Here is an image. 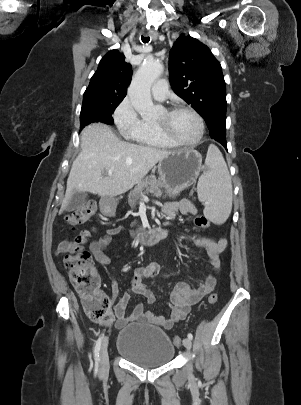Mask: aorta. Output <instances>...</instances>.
<instances>
[{
	"label": "aorta",
	"mask_w": 301,
	"mask_h": 405,
	"mask_svg": "<svg viewBox=\"0 0 301 405\" xmlns=\"http://www.w3.org/2000/svg\"><path fill=\"white\" fill-rule=\"evenodd\" d=\"M162 72L163 65L159 60L147 59L132 78L128 95L135 110L143 117L156 111L150 88Z\"/></svg>",
	"instance_id": "1"
}]
</instances>
